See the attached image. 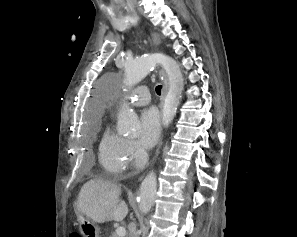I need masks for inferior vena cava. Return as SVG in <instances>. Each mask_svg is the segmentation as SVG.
Segmentation results:
<instances>
[{
  "label": "inferior vena cava",
  "mask_w": 297,
  "mask_h": 237,
  "mask_svg": "<svg viewBox=\"0 0 297 237\" xmlns=\"http://www.w3.org/2000/svg\"><path fill=\"white\" fill-rule=\"evenodd\" d=\"M129 237H139L137 232L136 223H132L129 230Z\"/></svg>",
  "instance_id": "inferior-vena-cava-1"
}]
</instances>
